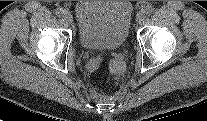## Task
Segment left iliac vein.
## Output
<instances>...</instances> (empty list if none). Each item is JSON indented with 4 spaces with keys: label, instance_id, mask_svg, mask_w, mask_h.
Segmentation results:
<instances>
[{
    "label": "left iliac vein",
    "instance_id": "1",
    "mask_svg": "<svg viewBox=\"0 0 207 121\" xmlns=\"http://www.w3.org/2000/svg\"><path fill=\"white\" fill-rule=\"evenodd\" d=\"M145 19V14L144 12L140 11L137 15H136V21L137 23H141L143 22Z\"/></svg>",
    "mask_w": 207,
    "mask_h": 121
}]
</instances>
